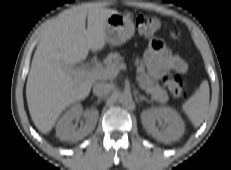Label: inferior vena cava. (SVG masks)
<instances>
[{
  "instance_id": "inferior-vena-cava-1",
  "label": "inferior vena cava",
  "mask_w": 231,
  "mask_h": 170,
  "mask_svg": "<svg viewBox=\"0 0 231 170\" xmlns=\"http://www.w3.org/2000/svg\"><path fill=\"white\" fill-rule=\"evenodd\" d=\"M112 86L108 83H97L93 87V93L96 96H103L109 94Z\"/></svg>"
}]
</instances>
